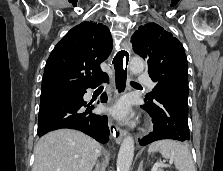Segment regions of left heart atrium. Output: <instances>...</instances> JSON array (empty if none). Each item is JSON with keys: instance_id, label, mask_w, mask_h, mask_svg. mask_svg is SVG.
<instances>
[{"instance_id": "1", "label": "left heart atrium", "mask_w": 223, "mask_h": 171, "mask_svg": "<svg viewBox=\"0 0 223 171\" xmlns=\"http://www.w3.org/2000/svg\"><path fill=\"white\" fill-rule=\"evenodd\" d=\"M109 113L120 121H125L130 116V109L126 101L120 100L109 108Z\"/></svg>"}]
</instances>
